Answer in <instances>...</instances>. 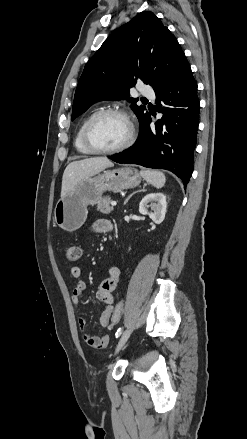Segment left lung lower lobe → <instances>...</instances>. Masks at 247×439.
Returning a JSON list of instances; mask_svg holds the SVG:
<instances>
[{
    "instance_id": "left-lung-lower-lobe-1",
    "label": "left lung lower lobe",
    "mask_w": 247,
    "mask_h": 439,
    "mask_svg": "<svg viewBox=\"0 0 247 439\" xmlns=\"http://www.w3.org/2000/svg\"><path fill=\"white\" fill-rule=\"evenodd\" d=\"M197 84L185 59L158 89L156 103L163 117L150 128V114L140 123L137 142L129 149L109 156L117 163L166 169L182 179L184 187L193 172L200 104ZM163 106V107H162Z\"/></svg>"
}]
</instances>
